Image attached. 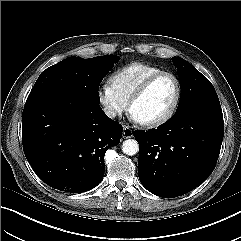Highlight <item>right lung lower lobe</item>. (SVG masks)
<instances>
[{"label": "right lung lower lobe", "instance_id": "right-lung-lower-lobe-1", "mask_svg": "<svg viewBox=\"0 0 241 241\" xmlns=\"http://www.w3.org/2000/svg\"><path fill=\"white\" fill-rule=\"evenodd\" d=\"M122 132L99 103L65 87L30 93L22 113L29 164L44 183L65 192H85L102 181L105 152Z\"/></svg>", "mask_w": 241, "mask_h": 241}]
</instances>
